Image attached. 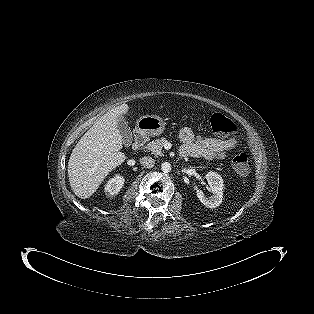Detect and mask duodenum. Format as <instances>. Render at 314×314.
I'll use <instances>...</instances> for the list:
<instances>
[{
  "instance_id": "obj_1",
  "label": "duodenum",
  "mask_w": 314,
  "mask_h": 314,
  "mask_svg": "<svg viewBox=\"0 0 314 314\" xmlns=\"http://www.w3.org/2000/svg\"><path fill=\"white\" fill-rule=\"evenodd\" d=\"M145 141H146V135H145L143 132L138 131V132L135 134L133 149H134V150H139V149H141V148L144 146Z\"/></svg>"
}]
</instances>
